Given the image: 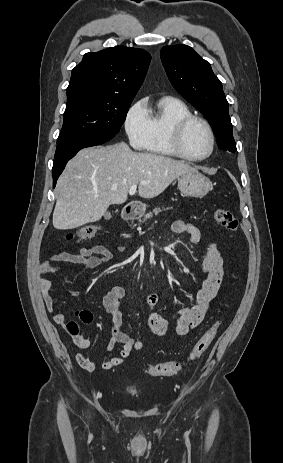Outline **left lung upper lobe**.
<instances>
[{
  "label": "left lung upper lobe",
  "instance_id": "obj_1",
  "mask_svg": "<svg viewBox=\"0 0 283 463\" xmlns=\"http://www.w3.org/2000/svg\"><path fill=\"white\" fill-rule=\"evenodd\" d=\"M160 55L173 87L209 121L218 147L235 152L228 102L210 63L183 44L165 46Z\"/></svg>",
  "mask_w": 283,
  "mask_h": 463
}]
</instances>
